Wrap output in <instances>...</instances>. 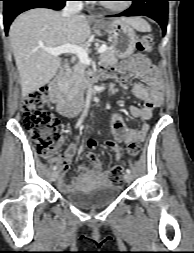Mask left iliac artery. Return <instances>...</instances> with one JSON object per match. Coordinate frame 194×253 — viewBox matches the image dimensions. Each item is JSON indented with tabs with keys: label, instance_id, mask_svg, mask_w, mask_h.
Returning <instances> with one entry per match:
<instances>
[{
	"label": "left iliac artery",
	"instance_id": "1",
	"mask_svg": "<svg viewBox=\"0 0 194 253\" xmlns=\"http://www.w3.org/2000/svg\"><path fill=\"white\" fill-rule=\"evenodd\" d=\"M126 173H131V170L130 169H126Z\"/></svg>",
	"mask_w": 194,
	"mask_h": 253
}]
</instances>
